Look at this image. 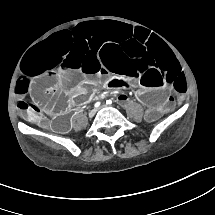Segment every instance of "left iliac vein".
<instances>
[{
	"instance_id": "obj_1",
	"label": "left iliac vein",
	"mask_w": 215,
	"mask_h": 215,
	"mask_svg": "<svg viewBox=\"0 0 215 215\" xmlns=\"http://www.w3.org/2000/svg\"><path fill=\"white\" fill-rule=\"evenodd\" d=\"M105 106H102V107H100L99 109H101V108H104ZM99 109H97V110H99Z\"/></svg>"
}]
</instances>
